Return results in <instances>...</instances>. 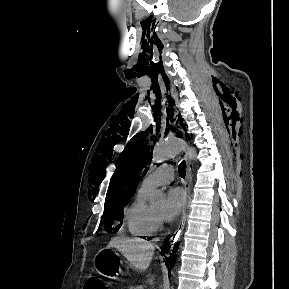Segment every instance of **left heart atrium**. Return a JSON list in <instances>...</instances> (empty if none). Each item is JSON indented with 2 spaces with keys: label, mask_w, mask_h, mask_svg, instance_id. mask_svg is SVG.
<instances>
[{
  "label": "left heart atrium",
  "mask_w": 289,
  "mask_h": 289,
  "mask_svg": "<svg viewBox=\"0 0 289 289\" xmlns=\"http://www.w3.org/2000/svg\"><path fill=\"white\" fill-rule=\"evenodd\" d=\"M185 192L181 188L170 189L164 205L162 219L172 221L179 215L185 204Z\"/></svg>",
  "instance_id": "39dd6f15"
}]
</instances>
